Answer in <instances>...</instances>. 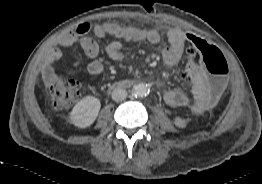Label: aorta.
I'll list each match as a JSON object with an SVG mask.
<instances>
[{
    "label": "aorta",
    "mask_w": 262,
    "mask_h": 184,
    "mask_svg": "<svg viewBox=\"0 0 262 184\" xmlns=\"http://www.w3.org/2000/svg\"><path fill=\"white\" fill-rule=\"evenodd\" d=\"M148 92H149V88L144 83L137 84L132 89V95L135 97L145 96Z\"/></svg>",
    "instance_id": "762f6f07"
}]
</instances>
